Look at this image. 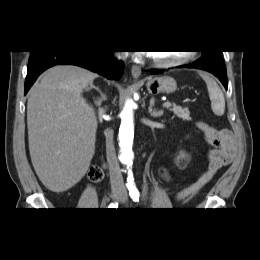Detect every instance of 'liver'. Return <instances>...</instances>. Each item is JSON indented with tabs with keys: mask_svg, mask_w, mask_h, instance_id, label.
I'll return each instance as SVG.
<instances>
[{
	"mask_svg": "<svg viewBox=\"0 0 260 260\" xmlns=\"http://www.w3.org/2000/svg\"><path fill=\"white\" fill-rule=\"evenodd\" d=\"M97 77L87 69L57 65L29 91V152L41 182L63 192L87 173L95 152L97 118L82 93Z\"/></svg>",
	"mask_w": 260,
	"mask_h": 260,
	"instance_id": "obj_1",
	"label": "liver"
}]
</instances>
